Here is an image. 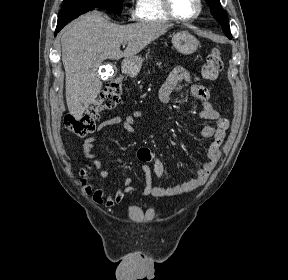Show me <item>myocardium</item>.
Wrapping results in <instances>:
<instances>
[{
  "instance_id": "myocardium-1",
  "label": "myocardium",
  "mask_w": 288,
  "mask_h": 280,
  "mask_svg": "<svg viewBox=\"0 0 288 280\" xmlns=\"http://www.w3.org/2000/svg\"><path fill=\"white\" fill-rule=\"evenodd\" d=\"M162 2V7L166 13V15L171 19L174 20L176 22H181V23H187V22H192L194 20H196L202 13L203 10V1L202 0H197V11L196 13L189 17V18H181L179 16H177L173 10L172 7V2L171 0H161Z\"/></svg>"
}]
</instances>
